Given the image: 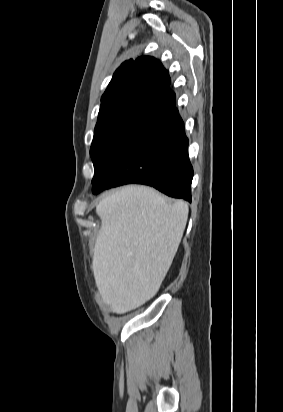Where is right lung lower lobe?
Wrapping results in <instances>:
<instances>
[{
    "instance_id": "98d812e1",
    "label": "right lung lower lobe",
    "mask_w": 283,
    "mask_h": 412,
    "mask_svg": "<svg viewBox=\"0 0 283 412\" xmlns=\"http://www.w3.org/2000/svg\"><path fill=\"white\" fill-rule=\"evenodd\" d=\"M167 79L168 72H164ZM193 168L188 139L175 104L109 170L93 183L92 192L128 183L153 186L174 198L191 202Z\"/></svg>"
}]
</instances>
